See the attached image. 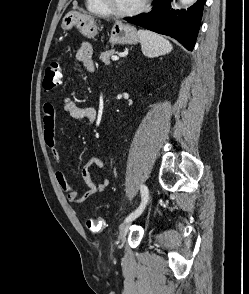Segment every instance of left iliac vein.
Returning a JSON list of instances; mask_svg holds the SVG:
<instances>
[{
    "mask_svg": "<svg viewBox=\"0 0 249 294\" xmlns=\"http://www.w3.org/2000/svg\"><path fill=\"white\" fill-rule=\"evenodd\" d=\"M129 227H130V221L129 222H125L120 226V230H119V240L121 242H123L126 238V235L129 231Z\"/></svg>",
    "mask_w": 249,
    "mask_h": 294,
    "instance_id": "obj_1",
    "label": "left iliac vein"
}]
</instances>
